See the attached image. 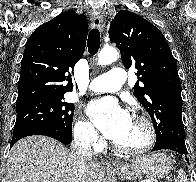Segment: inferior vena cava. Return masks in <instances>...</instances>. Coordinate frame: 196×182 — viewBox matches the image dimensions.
Masks as SVG:
<instances>
[{
  "mask_svg": "<svg viewBox=\"0 0 196 182\" xmlns=\"http://www.w3.org/2000/svg\"><path fill=\"white\" fill-rule=\"evenodd\" d=\"M92 135L83 133L71 143V156L73 158V168L75 173L82 172L85 164L92 158Z\"/></svg>",
  "mask_w": 196,
  "mask_h": 182,
  "instance_id": "1",
  "label": "inferior vena cava"
}]
</instances>
